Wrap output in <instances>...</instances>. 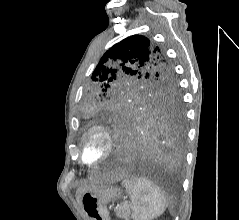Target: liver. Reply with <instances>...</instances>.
Returning <instances> with one entry per match:
<instances>
[{
    "label": "liver",
    "instance_id": "1",
    "mask_svg": "<svg viewBox=\"0 0 239 220\" xmlns=\"http://www.w3.org/2000/svg\"><path fill=\"white\" fill-rule=\"evenodd\" d=\"M124 177H125V172L123 170H116L114 172H111V173L106 174V175H102V176L98 177L97 179L92 180L90 183H87V184L81 186L77 190V200H78V202H80V197L84 192H86L88 190H91V189H95L99 185H102L104 183H106V184L115 183L117 181H120Z\"/></svg>",
    "mask_w": 239,
    "mask_h": 220
}]
</instances>
